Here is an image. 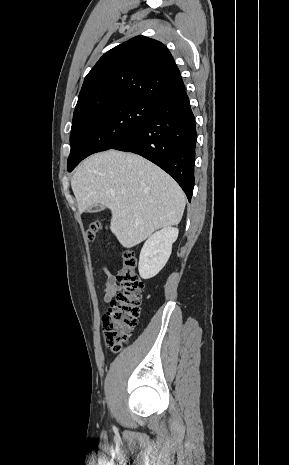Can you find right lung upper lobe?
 <instances>
[{"label":"right lung upper lobe","mask_w":289,"mask_h":465,"mask_svg":"<svg viewBox=\"0 0 289 465\" xmlns=\"http://www.w3.org/2000/svg\"><path fill=\"white\" fill-rule=\"evenodd\" d=\"M184 89L169 50L159 41L137 36L104 54L87 74L72 126L95 110L117 102H156Z\"/></svg>","instance_id":"cb5924a9"}]
</instances>
